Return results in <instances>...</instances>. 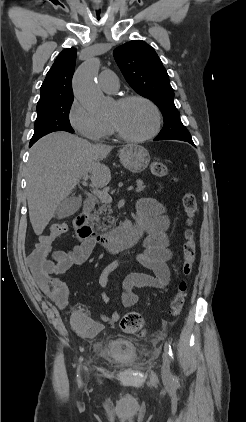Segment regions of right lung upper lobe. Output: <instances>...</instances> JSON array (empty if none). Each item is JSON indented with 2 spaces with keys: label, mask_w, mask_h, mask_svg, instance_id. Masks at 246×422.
Instances as JSON below:
<instances>
[{
  "label": "right lung upper lobe",
  "mask_w": 246,
  "mask_h": 422,
  "mask_svg": "<svg viewBox=\"0 0 246 422\" xmlns=\"http://www.w3.org/2000/svg\"><path fill=\"white\" fill-rule=\"evenodd\" d=\"M76 49L63 50L55 60L41 86L37 108L58 100L73 98L71 79L75 69Z\"/></svg>",
  "instance_id": "right-lung-upper-lobe-1"
}]
</instances>
